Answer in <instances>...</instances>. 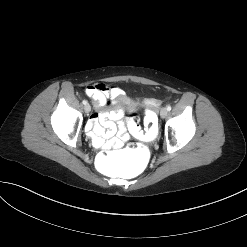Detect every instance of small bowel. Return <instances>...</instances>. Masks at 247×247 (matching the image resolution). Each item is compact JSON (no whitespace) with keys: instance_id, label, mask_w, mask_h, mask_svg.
Instances as JSON below:
<instances>
[{"instance_id":"small-bowel-1","label":"small bowel","mask_w":247,"mask_h":247,"mask_svg":"<svg viewBox=\"0 0 247 247\" xmlns=\"http://www.w3.org/2000/svg\"><path fill=\"white\" fill-rule=\"evenodd\" d=\"M85 93L95 103L97 112L92 115L86 125V131L93 145L98 148H120L123 144L125 127L116 124L123 115L119 107L124 97L121 89L106 87L104 84H94L86 88ZM111 100L115 104L114 110H108Z\"/></svg>"}]
</instances>
